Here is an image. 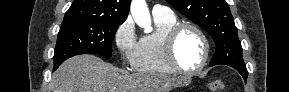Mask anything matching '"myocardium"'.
Returning a JSON list of instances; mask_svg holds the SVG:
<instances>
[{"instance_id": "1", "label": "myocardium", "mask_w": 289, "mask_h": 92, "mask_svg": "<svg viewBox=\"0 0 289 92\" xmlns=\"http://www.w3.org/2000/svg\"><path fill=\"white\" fill-rule=\"evenodd\" d=\"M186 29L195 31L204 44V55L200 65L194 69H185L177 61L175 46L179 35ZM163 52L168 65L177 73L193 75L201 72L207 65L210 56V42L205 32L195 24L183 22L172 26L163 39Z\"/></svg>"}]
</instances>
